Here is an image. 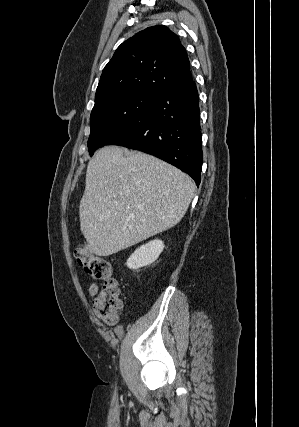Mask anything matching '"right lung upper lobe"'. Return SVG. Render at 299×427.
Returning <instances> with one entry per match:
<instances>
[{
	"mask_svg": "<svg viewBox=\"0 0 299 427\" xmlns=\"http://www.w3.org/2000/svg\"><path fill=\"white\" fill-rule=\"evenodd\" d=\"M189 59L178 36L152 26L123 42L103 69L95 102L119 93L157 95L192 82Z\"/></svg>",
	"mask_w": 299,
	"mask_h": 427,
	"instance_id": "1",
	"label": "right lung upper lobe"
}]
</instances>
